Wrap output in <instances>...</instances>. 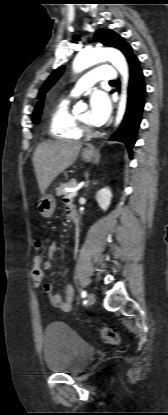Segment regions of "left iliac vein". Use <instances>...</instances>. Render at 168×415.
<instances>
[{
    "label": "left iliac vein",
    "instance_id": "1",
    "mask_svg": "<svg viewBox=\"0 0 168 415\" xmlns=\"http://www.w3.org/2000/svg\"><path fill=\"white\" fill-rule=\"evenodd\" d=\"M96 300L95 294L94 293H89L87 296V301L90 305L94 304Z\"/></svg>",
    "mask_w": 168,
    "mask_h": 415
}]
</instances>
